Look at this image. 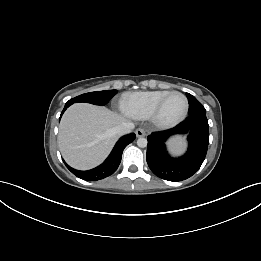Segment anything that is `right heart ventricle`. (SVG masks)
I'll return each instance as SVG.
<instances>
[{
	"label": "right heart ventricle",
	"instance_id": "obj_1",
	"mask_svg": "<svg viewBox=\"0 0 261 261\" xmlns=\"http://www.w3.org/2000/svg\"><path fill=\"white\" fill-rule=\"evenodd\" d=\"M168 92V90H155L129 93L122 97L120 108L130 118L148 119L158 101Z\"/></svg>",
	"mask_w": 261,
	"mask_h": 261
}]
</instances>
